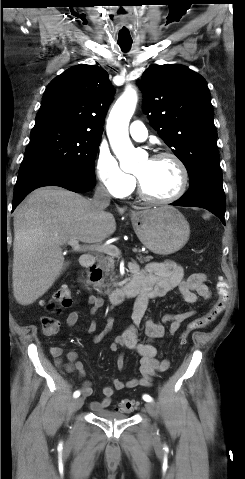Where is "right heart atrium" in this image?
Instances as JSON below:
<instances>
[{"instance_id":"right-heart-atrium-1","label":"right heart atrium","mask_w":245,"mask_h":479,"mask_svg":"<svg viewBox=\"0 0 245 479\" xmlns=\"http://www.w3.org/2000/svg\"><path fill=\"white\" fill-rule=\"evenodd\" d=\"M97 178L104 190L113 197L127 196L134 187L133 176L124 172L107 147H100L96 158Z\"/></svg>"}]
</instances>
